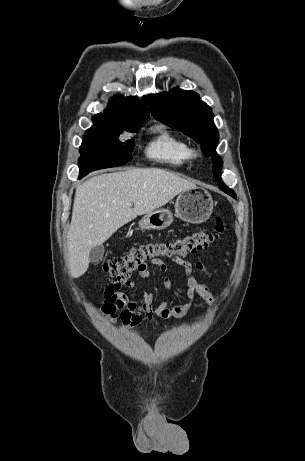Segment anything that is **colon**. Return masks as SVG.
Listing matches in <instances>:
<instances>
[{
    "label": "colon",
    "instance_id": "obj_1",
    "mask_svg": "<svg viewBox=\"0 0 305 461\" xmlns=\"http://www.w3.org/2000/svg\"><path fill=\"white\" fill-rule=\"evenodd\" d=\"M224 231L223 221L217 217L213 232L200 230L174 240L141 243L131 248L128 254L105 261L103 270L112 281L126 280L133 273L145 269L149 263L206 250Z\"/></svg>",
    "mask_w": 305,
    "mask_h": 461
}]
</instances>
